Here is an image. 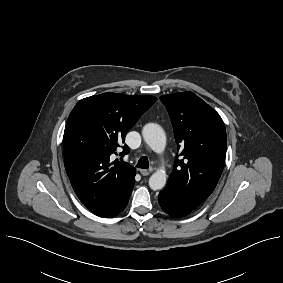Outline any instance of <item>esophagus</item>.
Here are the masks:
<instances>
[{
	"label": "esophagus",
	"mask_w": 283,
	"mask_h": 283,
	"mask_svg": "<svg viewBox=\"0 0 283 283\" xmlns=\"http://www.w3.org/2000/svg\"><path fill=\"white\" fill-rule=\"evenodd\" d=\"M150 170L148 169H140V173L143 175V176H148L150 174Z\"/></svg>",
	"instance_id": "obj_1"
}]
</instances>
